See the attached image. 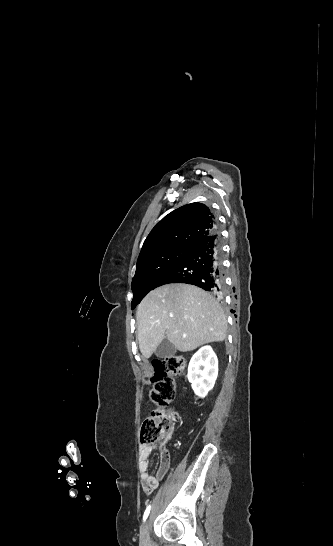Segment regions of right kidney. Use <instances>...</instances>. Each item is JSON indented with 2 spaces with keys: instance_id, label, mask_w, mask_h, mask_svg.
I'll return each instance as SVG.
<instances>
[{
  "instance_id": "obj_1",
  "label": "right kidney",
  "mask_w": 333,
  "mask_h": 546,
  "mask_svg": "<svg viewBox=\"0 0 333 546\" xmlns=\"http://www.w3.org/2000/svg\"><path fill=\"white\" fill-rule=\"evenodd\" d=\"M218 375V359L210 346L200 348L188 365V380L194 393L204 398L214 387Z\"/></svg>"
}]
</instances>
